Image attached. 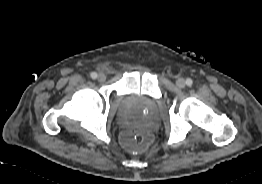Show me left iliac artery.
Wrapping results in <instances>:
<instances>
[{
  "label": "left iliac artery",
  "instance_id": "obj_1",
  "mask_svg": "<svg viewBox=\"0 0 262 184\" xmlns=\"http://www.w3.org/2000/svg\"><path fill=\"white\" fill-rule=\"evenodd\" d=\"M186 84H187L188 86H191V85L193 84L192 79L188 78V79L186 80Z\"/></svg>",
  "mask_w": 262,
  "mask_h": 184
}]
</instances>
